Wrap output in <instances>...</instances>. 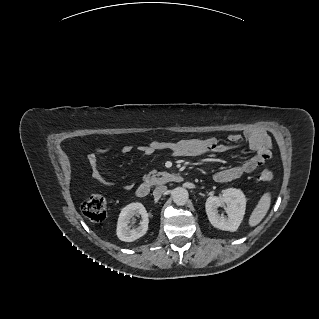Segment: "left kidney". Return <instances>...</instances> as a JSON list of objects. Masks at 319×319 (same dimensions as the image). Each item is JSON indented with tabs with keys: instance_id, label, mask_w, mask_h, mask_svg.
Masks as SVG:
<instances>
[{
	"instance_id": "obj_1",
	"label": "left kidney",
	"mask_w": 319,
	"mask_h": 319,
	"mask_svg": "<svg viewBox=\"0 0 319 319\" xmlns=\"http://www.w3.org/2000/svg\"><path fill=\"white\" fill-rule=\"evenodd\" d=\"M225 206L227 217L218 213V208ZM246 209V198L239 189L228 188L222 196L208 197L205 210L210 223L220 230L234 232L240 226Z\"/></svg>"
}]
</instances>
